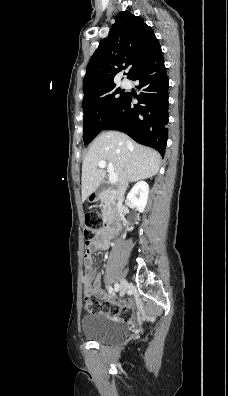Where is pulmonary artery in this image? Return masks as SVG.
I'll return each instance as SVG.
<instances>
[{"mask_svg":"<svg viewBox=\"0 0 228 396\" xmlns=\"http://www.w3.org/2000/svg\"><path fill=\"white\" fill-rule=\"evenodd\" d=\"M123 84H124V85H127V84H128V81H127V80H124V81H123Z\"/></svg>","mask_w":228,"mask_h":396,"instance_id":"1","label":"pulmonary artery"}]
</instances>
